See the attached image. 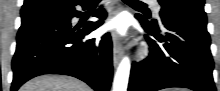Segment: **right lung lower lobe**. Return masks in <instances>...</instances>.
<instances>
[{
	"instance_id": "right-lung-lower-lobe-1",
	"label": "right lung lower lobe",
	"mask_w": 220,
	"mask_h": 91,
	"mask_svg": "<svg viewBox=\"0 0 220 91\" xmlns=\"http://www.w3.org/2000/svg\"><path fill=\"white\" fill-rule=\"evenodd\" d=\"M76 5L87 8L88 0H67L52 9L21 15L17 48L12 61L14 73L11 91L29 79L42 74H64L79 78L95 91H108L112 81V42L107 33L85 40V36L103 24L107 14L98 9L82 29L72 27L71 19L79 17Z\"/></svg>"
}]
</instances>
